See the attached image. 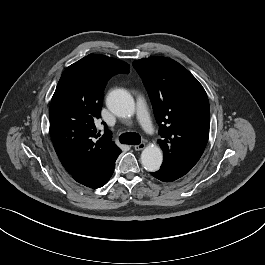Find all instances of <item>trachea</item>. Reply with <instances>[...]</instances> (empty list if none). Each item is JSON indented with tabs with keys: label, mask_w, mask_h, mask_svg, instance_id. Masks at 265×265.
Wrapping results in <instances>:
<instances>
[{
	"label": "trachea",
	"mask_w": 265,
	"mask_h": 265,
	"mask_svg": "<svg viewBox=\"0 0 265 265\" xmlns=\"http://www.w3.org/2000/svg\"><path fill=\"white\" fill-rule=\"evenodd\" d=\"M119 140L122 144L138 145L141 142V137L136 133H124L120 135Z\"/></svg>",
	"instance_id": "obj_1"
}]
</instances>
